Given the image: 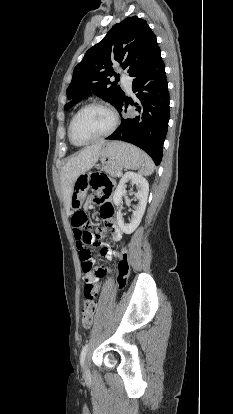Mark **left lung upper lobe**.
Masks as SVG:
<instances>
[{
    "label": "left lung upper lobe",
    "instance_id": "5c2ea615",
    "mask_svg": "<svg viewBox=\"0 0 233 414\" xmlns=\"http://www.w3.org/2000/svg\"><path fill=\"white\" fill-rule=\"evenodd\" d=\"M159 50L156 36L145 20L133 16L115 24L98 44L86 52L82 61L75 67L67 89L69 102L65 109L88 97L91 92L117 108L125 93L110 81L113 75L119 77L114 71V66L120 63L132 77L141 71Z\"/></svg>",
    "mask_w": 233,
    "mask_h": 414
}]
</instances>
